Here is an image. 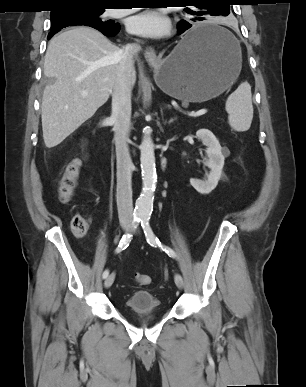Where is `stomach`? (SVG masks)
<instances>
[{"label":"stomach","instance_id":"obj_1","mask_svg":"<svg viewBox=\"0 0 306 387\" xmlns=\"http://www.w3.org/2000/svg\"><path fill=\"white\" fill-rule=\"evenodd\" d=\"M206 30L227 31L209 22L192 28L191 32ZM224 39L187 47L185 37L173 51L155 63L154 78L166 94L184 102H204L229 88L242 68V54L238 41L229 34Z\"/></svg>","mask_w":306,"mask_h":387}]
</instances>
